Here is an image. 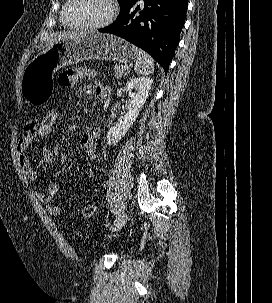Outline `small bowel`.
<instances>
[{
	"instance_id": "1",
	"label": "small bowel",
	"mask_w": 272,
	"mask_h": 303,
	"mask_svg": "<svg viewBox=\"0 0 272 303\" xmlns=\"http://www.w3.org/2000/svg\"><path fill=\"white\" fill-rule=\"evenodd\" d=\"M96 73L88 68H76L70 69L59 76V82L63 86L71 87L77 84L84 78H95ZM96 95L104 94L106 96V87L103 82L97 80L95 86ZM37 120H30L26 123V126L20 136L17 143V154L20 168L25 178L30 182L37 180V173L32 168L30 163V156L28 150L33 139L38 136L37 133ZM100 135V128L94 126L89 128L80 138L79 147L85 153L88 159L94 160L97 158L96 141ZM56 163V154L53 150L45 148L42 150L41 158L37 164V169L41 170L48 166H52ZM88 178L93 177V171L87 170ZM59 191V186L55 183H51L48 186L47 192L36 191L35 195L40 203L45 205L50 213L53 215H59L61 213V207L52 204V200Z\"/></svg>"
}]
</instances>
